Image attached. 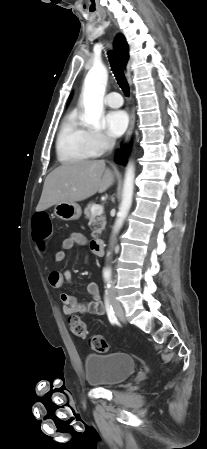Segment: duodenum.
<instances>
[{
    "mask_svg": "<svg viewBox=\"0 0 207 449\" xmlns=\"http://www.w3.org/2000/svg\"><path fill=\"white\" fill-rule=\"evenodd\" d=\"M104 247H105V242L102 239H94L91 241V249L98 256H101L104 254Z\"/></svg>",
    "mask_w": 207,
    "mask_h": 449,
    "instance_id": "obj_1",
    "label": "duodenum"
}]
</instances>
